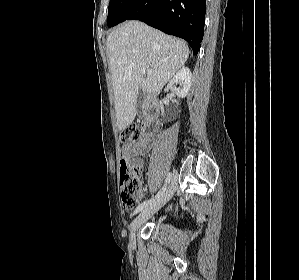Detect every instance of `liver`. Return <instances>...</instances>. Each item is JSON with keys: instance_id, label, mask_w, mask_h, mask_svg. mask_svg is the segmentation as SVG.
Masks as SVG:
<instances>
[{"instance_id": "1", "label": "liver", "mask_w": 299, "mask_h": 280, "mask_svg": "<svg viewBox=\"0 0 299 280\" xmlns=\"http://www.w3.org/2000/svg\"><path fill=\"white\" fill-rule=\"evenodd\" d=\"M107 52L119 130L133 122L139 90L160 91L189 56L184 41L136 20L124 22L108 36ZM141 69L152 73L144 77Z\"/></svg>"}]
</instances>
